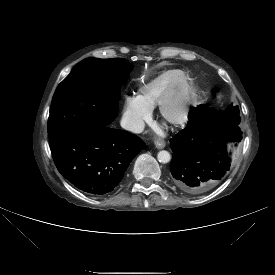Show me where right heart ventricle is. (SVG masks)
Listing matches in <instances>:
<instances>
[{
	"label": "right heart ventricle",
	"instance_id": "right-heart-ventricle-1",
	"mask_svg": "<svg viewBox=\"0 0 275 275\" xmlns=\"http://www.w3.org/2000/svg\"><path fill=\"white\" fill-rule=\"evenodd\" d=\"M176 69L160 71L151 79L142 83L136 93L139 102L148 109H153L171 83Z\"/></svg>",
	"mask_w": 275,
	"mask_h": 275
}]
</instances>
